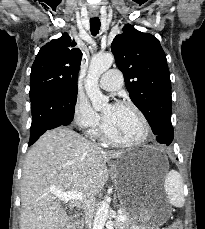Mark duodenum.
Instances as JSON below:
<instances>
[{"instance_id": "410a0bca", "label": "duodenum", "mask_w": 205, "mask_h": 229, "mask_svg": "<svg viewBox=\"0 0 205 229\" xmlns=\"http://www.w3.org/2000/svg\"><path fill=\"white\" fill-rule=\"evenodd\" d=\"M79 225H80V220L73 226H70L68 228H64V229H78L79 228Z\"/></svg>"}]
</instances>
